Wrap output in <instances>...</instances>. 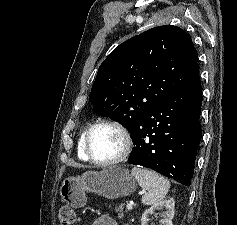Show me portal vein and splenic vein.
Here are the masks:
<instances>
[{
    "label": "portal vein and splenic vein",
    "mask_w": 237,
    "mask_h": 225,
    "mask_svg": "<svg viewBox=\"0 0 237 225\" xmlns=\"http://www.w3.org/2000/svg\"><path fill=\"white\" fill-rule=\"evenodd\" d=\"M126 207H127V209H132V204L131 203H127Z\"/></svg>",
    "instance_id": "obj_1"
}]
</instances>
